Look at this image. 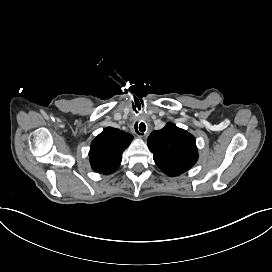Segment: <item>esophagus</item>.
Returning a JSON list of instances; mask_svg holds the SVG:
<instances>
[{
    "label": "esophagus",
    "instance_id": "esophagus-1",
    "mask_svg": "<svg viewBox=\"0 0 272 272\" xmlns=\"http://www.w3.org/2000/svg\"><path fill=\"white\" fill-rule=\"evenodd\" d=\"M135 130H136V129H135ZM136 134H137L138 137H143L142 134H139V133H137V132H136Z\"/></svg>",
    "mask_w": 272,
    "mask_h": 272
}]
</instances>
